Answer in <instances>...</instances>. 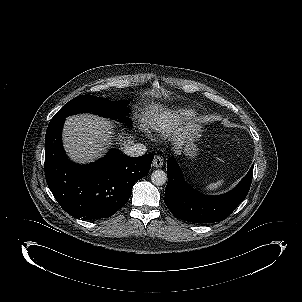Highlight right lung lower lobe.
<instances>
[{
  "label": "right lung lower lobe",
  "mask_w": 302,
  "mask_h": 302,
  "mask_svg": "<svg viewBox=\"0 0 302 302\" xmlns=\"http://www.w3.org/2000/svg\"><path fill=\"white\" fill-rule=\"evenodd\" d=\"M64 121H50L46 132L44 166L48 187L71 216L86 220L108 218L129 200L134 183L148 174L154 155L129 157L112 149L95 163L74 164L62 147Z\"/></svg>",
  "instance_id": "98d812e1"
}]
</instances>
